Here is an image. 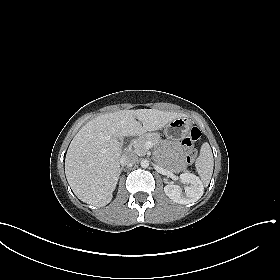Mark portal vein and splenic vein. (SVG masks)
Masks as SVG:
<instances>
[{"mask_svg": "<svg viewBox=\"0 0 280 280\" xmlns=\"http://www.w3.org/2000/svg\"><path fill=\"white\" fill-rule=\"evenodd\" d=\"M152 143L150 141L146 142L145 146L146 148H151L152 147Z\"/></svg>", "mask_w": 280, "mask_h": 280, "instance_id": "1", "label": "portal vein and splenic vein"}]
</instances>
